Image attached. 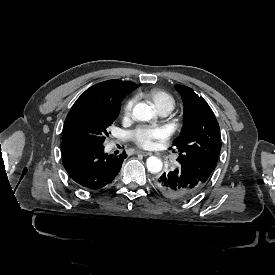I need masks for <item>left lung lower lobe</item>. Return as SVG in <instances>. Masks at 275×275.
<instances>
[{"mask_svg": "<svg viewBox=\"0 0 275 275\" xmlns=\"http://www.w3.org/2000/svg\"><path fill=\"white\" fill-rule=\"evenodd\" d=\"M154 185L168 199L188 200L198 194L205 183L179 166L175 170L157 177Z\"/></svg>", "mask_w": 275, "mask_h": 275, "instance_id": "obj_1", "label": "left lung lower lobe"}]
</instances>
